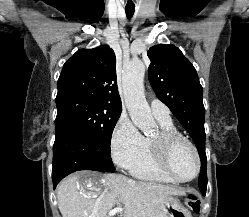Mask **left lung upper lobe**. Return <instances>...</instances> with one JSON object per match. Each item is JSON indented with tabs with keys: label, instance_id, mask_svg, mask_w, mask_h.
I'll list each match as a JSON object with an SVG mask.
<instances>
[{
	"label": "left lung upper lobe",
	"instance_id": "left-lung-upper-lobe-1",
	"mask_svg": "<svg viewBox=\"0 0 249 217\" xmlns=\"http://www.w3.org/2000/svg\"><path fill=\"white\" fill-rule=\"evenodd\" d=\"M147 55L151 61L148 78L155 94L190 134L202 161L201 168H206L205 109L195 68L172 44L153 46Z\"/></svg>",
	"mask_w": 249,
	"mask_h": 217
}]
</instances>
